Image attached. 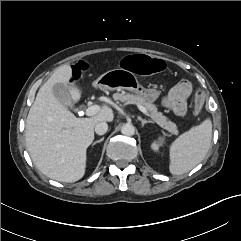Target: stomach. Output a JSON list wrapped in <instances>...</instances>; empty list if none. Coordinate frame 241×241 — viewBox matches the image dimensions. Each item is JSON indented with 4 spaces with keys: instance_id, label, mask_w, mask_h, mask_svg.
<instances>
[{
    "instance_id": "stomach-1",
    "label": "stomach",
    "mask_w": 241,
    "mask_h": 241,
    "mask_svg": "<svg viewBox=\"0 0 241 241\" xmlns=\"http://www.w3.org/2000/svg\"><path fill=\"white\" fill-rule=\"evenodd\" d=\"M93 86L100 90H129L137 93L147 100L154 102L161 94L156 88H144L137 80L132 71H125L122 68L107 71L93 82Z\"/></svg>"
}]
</instances>
